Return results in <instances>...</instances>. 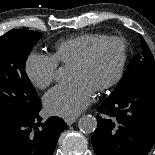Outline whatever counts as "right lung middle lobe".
Wrapping results in <instances>:
<instances>
[{"instance_id": "dd1d6c3e", "label": "right lung middle lobe", "mask_w": 155, "mask_h": 155, "mask_svg": "<svg viewBox=\"0 0 155 155\" xmlns=\"http://www.w3.org/2000/svg\"><path fill=\"white\" fill-rule=\"evenodd\" d=\"M42 33L12 30L0 36V119H24L41 109L26 72L27 57Z\"/></svg>"}]
</instances>
